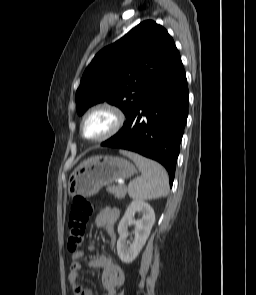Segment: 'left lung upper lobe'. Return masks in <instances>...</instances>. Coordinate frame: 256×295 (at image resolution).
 <instances>
[{"label":"left lung upper lobe","instance_id":"1","mask_svg":"<svg viewBox=\"0 0 256 295\" xmlns=\"http://www.w3.org/2000/svg\"><path fill=\"white\" fill-rule=\"evenodd\" d=\"M180 54L168 32L147 20L110 46L86 68L76 91V111L107 101L131 117L149 91L180 63Z\"/></svg>","mask_w":256,"mask_h":295}]
</instances>
